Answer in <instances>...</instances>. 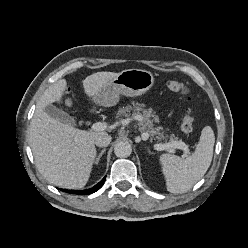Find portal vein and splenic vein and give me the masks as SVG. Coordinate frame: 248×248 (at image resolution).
I'll use <instances>...</instances> for the list:
<instances>
[{"label":"portal vein and splenic vein","instance_id":"portal-vein-and-splenic-vein-1","mask_svg":"<svg viewBox=\"0 0 248 248\" xmlns=\"http://www.w3.org/2000/svg\"><path fill=\"white\" fill-rule=\"evenodd\" d=\"M107 127H108L107 123H105V122H97L91 126L92 130H94V131H103V130L107 129ZM141 137L143 140H147L149 138V134L147 132L143 133ZM154 148H155V150H158V151L166 150L169 148H172V149L178 148V149L184 150L185 153L188 152V146L184 142H181V143L180 142H173V143H168V144H155Z\"/></svg>","mask_w":248,"mask_h":248}]
</instances>
